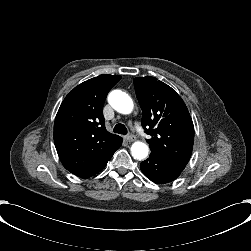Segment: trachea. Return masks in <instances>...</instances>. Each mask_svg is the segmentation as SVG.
<instances>
[{"instance_id": "obj_1", "label": "trachea", "mask_w": 251, "mask_h": 251, "mask_svg": "<svg viewBox=\"0 0 251 251\" xmlns=\"http://www.w3.org/2000/svg\"><path fill=\"white\" fill-rule=\"evenodd\" d=\"M113 131L115 133L121 134V135H126L127 134V128L125 127V125L118 123L114 126Z\"/></svg>"}]
</instances>
